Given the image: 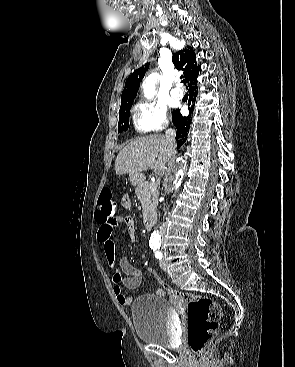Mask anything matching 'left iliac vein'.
<instances>
[{
  "label": "left iliac vein",
  "instance_id": "obj_1",
  "mask_svg": "<svg viewBox=\"0 0 295 367\" xmlns=\"http://www.w3.org/2000/svg\"><path fill=\"white\" fill-rule=\"evenodd\" d=\"M159 265H160L161 269L166 270L167 264H166V260L164 258L160 260Z\"/></svg>",
  "mask_w": 295,
  "mask_h": 367
}]
</instances>
